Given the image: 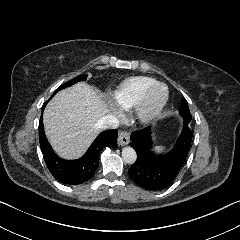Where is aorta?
<instances>
[{"instance_id": "762f6f07", "label": "aorta", "mask_w": 240, "mask_h": 240, "mask_svg": "<svg viewBox=\"0 0 240 240\" xmlns=\"http://www.w3.org/2000/svg\"><path fill=\"white\" fill-rule=\"evenodd\" d=\"M122 158L127 164H133L137 159V155L135 150L132 147L128 146L122 149Z\"/></svg>"}]
</instances>
